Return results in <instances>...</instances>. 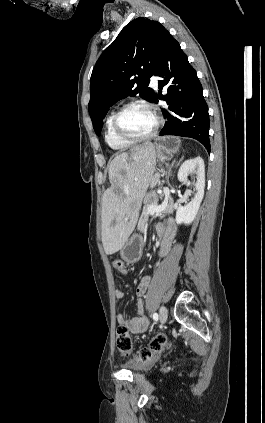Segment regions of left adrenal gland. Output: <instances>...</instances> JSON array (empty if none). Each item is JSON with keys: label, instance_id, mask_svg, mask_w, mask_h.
Listing matches in <instances>:
<instances>
[{"label": "left adrenal gland", "instance_id": "left-adrenal-gland-1", "mask_svg": "<svg viewBox=\"0 0 265 423\" xmlns=\"http://www.w3.org/2000/svg\"><path fill=\"white\" fill-rule=\"evenodd\" d=\"M175 163H176V161L174 160V161L172 162L171 168L175 165Z\"/></svg>", "mask_w": 265, "mask_h": 423}]
</instances>
